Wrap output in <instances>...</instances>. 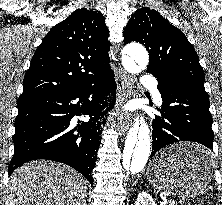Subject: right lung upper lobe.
Wrapping results in <instances>:
<instances>
[{
	"label": "right lung upper lobe",
	"instance_id": "1",
	"mask_svg": "<svg viewBox=\"0 0 222 205\" xmlns=\"http://www.w3.org/2000/svg\"><path fill=\"white\" fill-rule=\"evenodd\" d=\"M108 35L100 11L75 10L55 25L37 48L19 98L69 92L112 72Z\"/></svg>",
	"mask_w": 222,
	"mask_h": 205
}]
</instances>
